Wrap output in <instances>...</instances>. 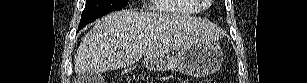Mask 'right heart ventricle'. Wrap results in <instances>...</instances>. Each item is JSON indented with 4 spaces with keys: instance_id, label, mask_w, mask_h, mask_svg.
I'll return each mask as SVG.
<instances>
[{
    "instance_id": "right-heart-ventricle-1",
    "label": "right heart ventricle",
    "mask_w": 307,
    "mask_h": 83,
    "mask_svg": "<svg viewBox=\"0 0 307 83\" xmlns=\"http://www.w3.org/2000/svg\"><path fill=\"white\" fill-rule=\"evenodd\" d=\"M156 10L164 14H194L197 8L189 0H156Z\"/></svg>"
}]
</instances>
